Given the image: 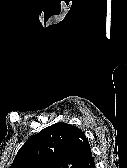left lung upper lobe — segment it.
I'll use <instances>...</instances> for the list:
<instances>
[{"label": "left lung upper lobe", "mask_w": 127, "mask_h": 168, "mask_svg": "<svg viewBox=\"0 0 127 168\" xmlns=\"http://www.w3.org/2000/svg\"><path fill=\"white\" fill-rule=\"evenodd\" d=\"M88 143L79 128L56 123L29 138L10 168H78Z\"/></svg>", "instance_id": "obj_1"}]
</instances>
